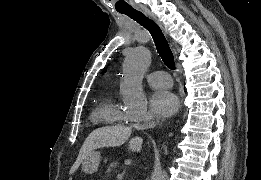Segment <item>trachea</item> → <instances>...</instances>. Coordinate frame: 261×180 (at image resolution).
Returning <instances> with one entry per match:
<instances>
[{
    "label": "trachea",
    "instance_id": "obj_1",
    "mask_svg": "<svg viewBox=\"0 0 261 180\" xmlns=\"http://www.w3.org/2000/svg\"><path fill=\"white\" fill-rule=\"evenodd\" d=\"M119 13L127 15L133 20H136V22H138L140 25H142V27L146 28L151 33L157 51L164 64L171 70H175L176 67L174 62V55L171 52L169 44L158 25L153 20H150V18L143 15V13L138 12L135 9L120 11Z\"/></svg>",
    "mask_w": 261,
    "mask_h": 180
}]
</instances>
